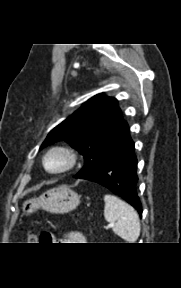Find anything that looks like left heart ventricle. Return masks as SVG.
Returning a JSON list of instances; mask_svg holds the SVG:
<instances>
[{
    "mask_svg": "<svg viewBox=\"0 0 181 288\" xmlns=\"http://www.w3.org/2000/svg\"><path fill=\"white\" fill-rule=\"evenodd\" d=\"M64 158L59 154L50 156L47 160V167L51 170L58 169L64 165Z\"/></svg>",
    "mask_w": 181,
    "mask_h": 288,
    "instance_id": "left-heart-ventricle-1",
    "label": "left heart ventricle"
}]
</instances>
